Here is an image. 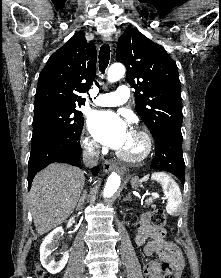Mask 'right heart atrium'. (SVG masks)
Returning <instances> with one entry per match:
<instances>
[{"instance_id": "1", "label": "right heart atrium", "mask_w": 221, "mask_h": 278, "mask_svg": "<svg viewBox=\"0 0 221 278\" xmlns=\"http://www.w3.org/2000/svg\"><path fill=\"white\" fill-rule=\"evenodd\" d=\"M84 149L89 153H95L97 150V143L93 138L86 137L83 140Z\"/></svg>"}]
</instances>
